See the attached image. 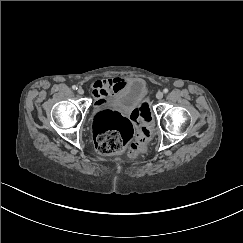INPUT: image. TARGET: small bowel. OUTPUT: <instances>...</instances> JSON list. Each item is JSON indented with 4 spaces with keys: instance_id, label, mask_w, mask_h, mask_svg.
Segmentation results:
<instances>
[{
    "instance_id": "1",
    "label": "small bowel",
    "mask_w": 243,
    "mask_h": 243,
    "mask_svg": "<svg viewBox=\"0 0 243 243\" xmlns=\"http://www.w3.org/2000/svg\"><path fill=\"white\" fill-rule=\"evenodd\" d=\"M125 81V79L120 77L95 81L92 85V94L96 99V104H101L112 93L118 92L125 84Z\"/></svg>"
}]
</instances>
